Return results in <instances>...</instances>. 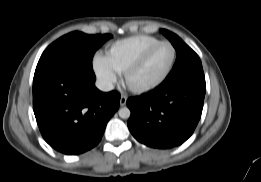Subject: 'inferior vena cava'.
I'll use <instances>...</instances> for the list:
<instances>
[{
    "instance_id": "1",
    "label": "inferior vena cava",
    "mask_w": 261,
    "mask_h": 182,
    "mask_svg": "<svg viewBox=\"0 0 261 182\" xmlns=\"http://www.w3.org/2000/svg\"><path fill=\"white\" fill-rule=\"evenodd\" d=\"M96 87L104 92H108L114 89V86L112 84V82L108 81V80H97L95 83Z\"/></svg>"
}]
</instances>
